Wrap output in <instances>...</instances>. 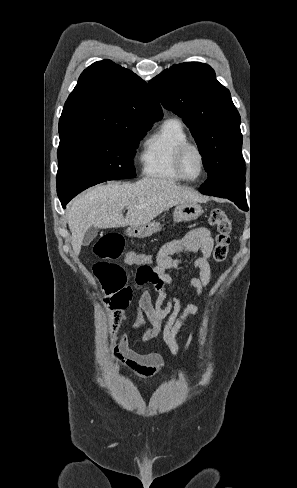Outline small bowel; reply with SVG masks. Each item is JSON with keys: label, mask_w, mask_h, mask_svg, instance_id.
I'll list each match as a JSON object with an SVG mask.
<instances>
[{"label": "small bowel", "mask_w": 297, "mask_h": 488, "mask_svg": "<svg viewBox=\"0 0 297 488\" xmlns=\"http://www.w3.org/2000/svg\"><path fill=\"white\" fill-rule=\"evenodd\" d=\"M212 249L213 238L210 230L206 227L192 229L182 237L162 245L156 256L152 257L151 270L146 283L152 285L158 293L154 303H152L149 293L138 286L136 301L153 323L146 340L155 342L162 331L164 342L173 356H176L178 352L176 334L182 322L189 315H199L200 309L192 304L183 306L176 294L167 296V290L174 283L170 271L184 265L190 256H193L191 265L198 271V277L188 278L184 287L194 289L198 296L202 297L210 280L209 258ZM144 256L145 254L130 251L126 253L124 261L129 265L139 266L143 263ZM164 319H167V323L162 330ZM191 342L192 337L186 343V350L191 346ZM115 359L139 382L154 377L164 365L163 356L158 352L144 354L131 349L125 335L121 337Z\"/></svg>", "instance_id": "small-bowel-1"}]
</instances>
